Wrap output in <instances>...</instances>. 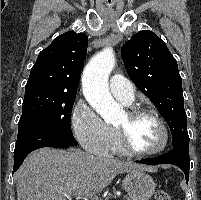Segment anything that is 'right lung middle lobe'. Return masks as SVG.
Segmentation results:
<instances>
[{
    "instance_id": "obj_1",
    "label": "right lung middle lobe",
    "mask_w": 201,
    "mask_h": 200,
    "mask_svg": "<svg viewBox=\"0 0 201 200\" xmlns=\"http://www.w3.org/2000/svg\"><path fill=\"white\" fill-rule=\"evenodd\" d=\"M75 97L51 91L25 93L18 129L30 125H46L72 134L70 119Z\"/></svg>"
}]
</instances>
